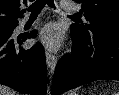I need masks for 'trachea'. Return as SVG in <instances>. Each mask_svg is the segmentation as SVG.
I'll return each mask as SVG.
<instances>
[{"label": "trachea", "instance_id": "1", "mask_svg": "<svg viewBox=\"0 0 119 95\" xmlns=\"http://www.w3.org/2000/svg\"><path fill=\"white\" fill-rule=\"evenodd\" d=\"M54 7L53 0H36L30 7L29 11L32 16L38 15L45 5ZM76 16V15H74Z\"/></svg>", "mask_w": 119, "mask_h": 95}]
</instances>
